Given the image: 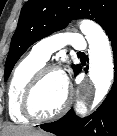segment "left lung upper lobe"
<instances>
[{"instance_id":"5c2ea615","label":"left lung upper lobe","mask_w":117,"mask_h":136,"mask_svg":"<svg viewBox=\"0 0 117 136\" xmlns=\"http://www.w3.org/2000/svg\"><path fill=\"white\" fill-rule=\"evenodd\" d=\"M117 15V0H29L22 8L5 62L6 81L17 60L35 42L76 18L96 21L103 29ZM74 74L80 68L73 65Z\"/></svg>"}]
</instances>
